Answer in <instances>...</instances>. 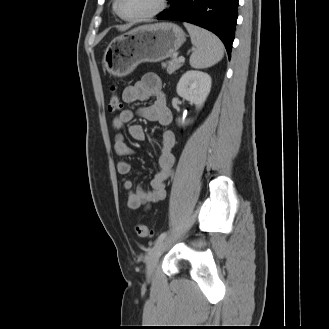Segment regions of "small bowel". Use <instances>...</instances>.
Segmentation results:
<instances>
[{
    "mask_svg": "<svg viewBox=\"0 0 329 329\" xmlns=\"http://www.w3.org/2000/svg\"><path fill=\"white\" fill-rule=\"evenodd\" d=\"M153 98V103L140 108L137 114L148 121L156 122L161 126H168L172 120L171 111L167 105L165 95L162 91V82L155 73H147L140 81L127 86L122 93L125 103L145 101ZM135 116V112L129 109L121 111L112 119V128L116 132L114 137V150L120 156H130L133 150L126 144L123 129ZM128 134L135 141L145 139L144 128L139 124L128 125ZM175 135L171 130H164L161 134V147L157 159L159 171L150 183V189L142 186L134 187L130 178L133 172L131 163L127 159H120L116 163V169L123 176V187L128 192L127 203L129 208L138 209L142 205L156 203L165 197V182L169 178L174 163Z\"/></svg>",
    "mask_w": 329,
    "mask_h": 329,
    "instance_id": "c3829d8e",
    "label": "small bowel"
}]
</instances>
